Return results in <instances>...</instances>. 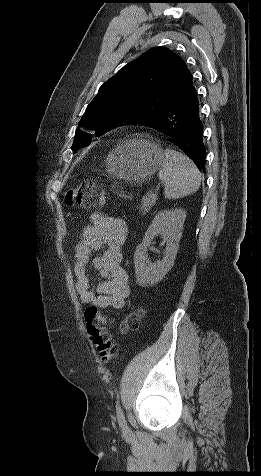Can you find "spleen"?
I'll return each mask as SVG.
<instances>
[{"instance_id": "3e777b00", "label": "spleen", "mask_w": 261, "mask_h": 476, "mask_svg": "<svg viewBox=\"0 0 261 476\" xmlns=\"http://www.w3.org/2000/svg\"><path fill=\"white\" fill-rule=\"evenodd\" d=\"M158 172L164 183V196L178 199L195 193L201 184V173L194 162L181 152L166 149Z\"/></svg>"}]
</instances>
